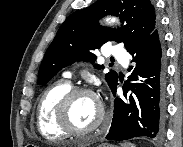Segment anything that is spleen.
Returning <instances> with one entry per match:
<instances>
[{"label":"spleen","mask_w":183,"mask_h":147,"mask_svg":"<svg viewBox=\"0 0 183 147\" xmlns=\"http://www.w3.org/2000/svg\"><path fill=\"white\" fill-rule=\"evenodd\" d=\"M121 147H135V146L131 143H125V144H121Z\"/></svg>","instance_id":"3e777b00"}]
</instances>
